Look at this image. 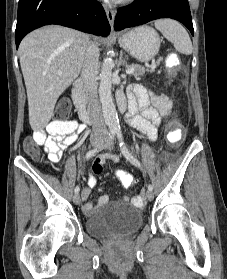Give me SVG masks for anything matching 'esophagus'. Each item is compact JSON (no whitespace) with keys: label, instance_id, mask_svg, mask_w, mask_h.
Instances as JSON below:
<instances>
[{"label":"esophagus","instance_id":"34e87169","mask_svg":"<svg viewBox=\"0 0 227 279\" xmlns=\"http://www.w3.org/2000/svg\"><path fill=\"white\" fill-rule=\"evenodd\" d=\"M104 8H105V13H106V16H107V19L109 21V24L111 26V30L112 32L114 31L113 29V26H114V18H115V13H114V10L111 9L109 6L107 5H104Z\"/></svg>","mask_w":227,"mask_h":279}]
</instances>
